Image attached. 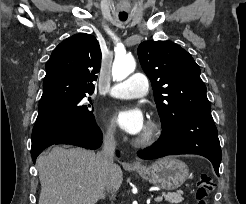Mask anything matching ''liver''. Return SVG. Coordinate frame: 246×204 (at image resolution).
<instances>
[{
  "mask_svg": "<svg viewBox=\"0 0 246 204\" xmlns=\"http://www.w3.org/2000/svg\"><path fill=\"white\" fill-rule=\"evenodd\" d=\"M41 192L38 204H96L119 189L123 173L119 165L110 176L108 190L100 160L93 151L53 147L37 159Z\"/></svg>",
  "mask_w": 246,
  "mask_h": 204,
  "instance_id": "liver-1",
  "label": "liver"
}]
</instances>
